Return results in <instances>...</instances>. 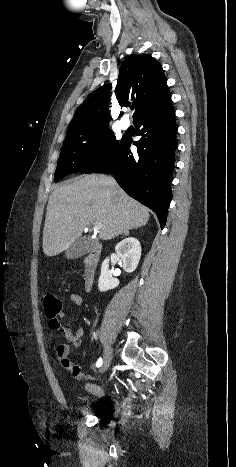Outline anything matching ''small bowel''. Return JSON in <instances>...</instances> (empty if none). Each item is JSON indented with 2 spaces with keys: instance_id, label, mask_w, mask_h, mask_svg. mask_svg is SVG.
<instances>
[{
  "instance_id": "small-bowel-1",
  "label": "small bowel",
  "mask_w": 236,
  "mask_h": 467,
  "mask_svg": "<svg viewBox=\"0 0 236 467\" xmlns=\"http://www.w3.org/2000/svg\"><path fill=\"white\" fill-rule=\"evenodd\" d=\"M83 303L82 297L78 293H71L69 296V304L79 306ZM65 313L61 312L55 317H48V327L52 331H61L63 334L66 342L58 344L55 348V354L60 361L62 367L67 370L71 375L76 379H93L91 376H86L82 372L81 367L78 364L73 363L69 356L70 352L73 348H78L82 343V338L84 336V329L82 327L77 328L75 331L63 327L60 323L61 319L65 318ZM86 391L95 395V396H103V390L95 385L88 383L85 385Z\"/></svg>"
}]
</instances>
